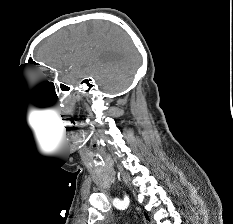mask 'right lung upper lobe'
<instances>
[{
	"label": "right lung upper lobe",
	"instance_id": "obj_1",
	"mask_svg": "<svg viewBox=\"0 0 233 224\" xmlns=\"http://www.w3.org/2000/svg\"><path fill=\"white\" fill-rule=\"evenodd\" d=\"M145 217H146V219H147V220H149V218H148V216H147V214H146V213H145Z\"/></svg>",
	"mask_w": 233,
	"mask_h": 224
}]
</instances>
